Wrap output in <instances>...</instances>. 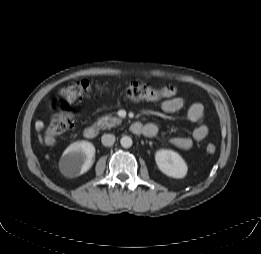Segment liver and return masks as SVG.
<instances>
[{
    "instance_id": "1",
    "label": "liver",
    "mask_w": 261,
    "mask_h": 254,
    "mask_svg": "<svg viewBox=\"0 0 261 254\" xmlns=\"http://www.w3.org/2000/svg\"><path fill=\"white\" fill-rule=\"evenodd\" d=\"M43 128V123L41 121L37 122V130H41ZM39 142L42 143V137L39 135Z\"/></svg>"
}]
</instances>
